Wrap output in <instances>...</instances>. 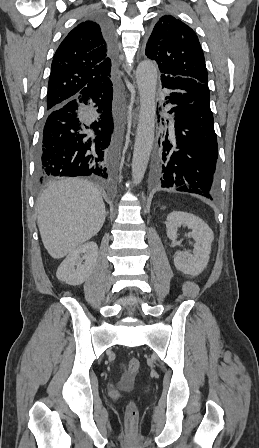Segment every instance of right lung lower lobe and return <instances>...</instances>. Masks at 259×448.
<instances>
[{
  "mask_svg": "<svg viewBox=\"0 0 259 448\" xmlns=\"http://www.w3.org/2000/svg\"><path fill=\"white\" fill-rule=\"evenodd\" d=\"M97 22L114 61L116 39L112 24L103 17ZM113 87L79 96L46 109L42 140L36 153L37 179L49 176L108 177L116 128L112 107Z\"/></svg>",
  "mask_w": 259,
  "mask_h": 448,
  "instance_id": "98d812e1",
  "label": "right lung lower lobe"
}]
</instances>
